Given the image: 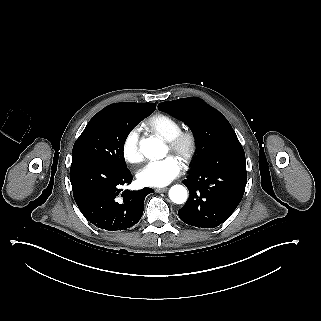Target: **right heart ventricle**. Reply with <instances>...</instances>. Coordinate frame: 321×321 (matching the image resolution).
<instances>
[{
	"mask_svg": "<svg viewBox=\"0 0 321 321\" xmlns=\"http://www.w3.org/2000/svg\"><path fill=\"white\" fill-rule=\"evenodd\" d=\"M148 125L155 134L163 139H171L182 130L181 123L166 114H155L148 119Z\"/></svg>",
	"mask_w": 321,
	"mask_h": 321,
	"instance_id": "obj_1",
	"label": "right heart ventricle"
}]
</instances>
